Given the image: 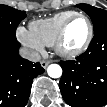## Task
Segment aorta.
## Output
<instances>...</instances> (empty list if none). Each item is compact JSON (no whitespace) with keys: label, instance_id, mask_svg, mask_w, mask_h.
<instances>
[{"label":"aorta","instance_id":"obj_1","mask_svg":"<svg viewBox=\"0 0 107 107\" xmlns=\"http://www.w3.org/2000/svg\"><path fill=\"white\" fill-rule=\"evenodd\" d=\"M47 73L51 78H59L62 76V68L58 64H51L47 68Z\"/></svg>","mask_w":107,"mask_h":107}]
</instances>
